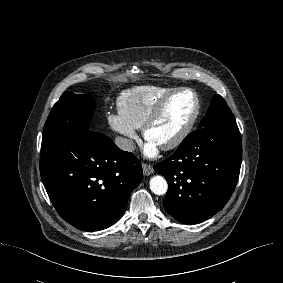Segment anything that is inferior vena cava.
I'll list each match as a JSON object with an SVG mask.
<instances>
[{
	"mask_svg": "<svg viewBox=\"0 0 283 283\" xmlns=\"http://www.w3.org/2000/svg\"><path fill=\"white\" fill-rule=\"evenodd\" d=\"M115 144L124 151L132 152L135 149L134 142L128 138L118 136L115 138Z\"/></svg>",
	"mask_w": 283,
	"mask_h": 283,
	"instance_id": "obj_1",
	"label": "inferior vena cava"
}]
</instances>
